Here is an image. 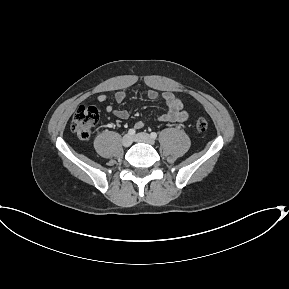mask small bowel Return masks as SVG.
Returning <instances> with one entry per match:
<instances>
[{"mask_svg": "<svg viewBox=\"0 0 289 289\" xmlns=\"http://www.w3.org/2000/svg\"><path fill=\"white\" fill-rule=\"evenodd\" d=\"M147 96L151 100H155L158 98V92L155 90H149L147 92ZM126 98V92L125 91H117L114 95V99L116 102L121 103L125 100ZM108 97L105 94H100L97 97V100L99 102H105L107 101ZM162 99L166 104L167 110L165 113H163L161 116H159V121L163 122H183L185 121L189 113L188 111L184 108V105L182 101L173 93L171 92H165L162 94ZM106 112L107 113H112L116 117L120 119H128L130 117L131 111L126 110V109H115L112 105H108L106 107ZM144 122L139 121L136 123L135 127L136 128H142L144 127Z\"/></svg>", "mask_w": 289, "mask_h": 289, "instance_id": "1", "label": "small bowel"}]
</instances>
